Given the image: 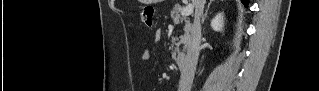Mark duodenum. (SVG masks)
I'll return each instance as SVG.
<instances>
[{"instance_id":"410a0bca","label":"duodenum","mask_w":319,"mask_h":91,"mask_svg":"<svg viewBox=\"0 0 319 91\" xmlns=\"http://www.w3.org/2000/svg\"><path fill=\"white\" fill-rule=\"evenodd\" d=\"M173 60L178 65L179 68H184L186 63V57L183 53H176L173 55Z\"/></svg>"}]
</instances>
